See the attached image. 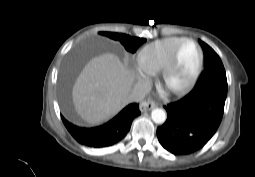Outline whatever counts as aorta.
Returning <instances> with one entry per match:
<instances>
[{"label": "aorta", "mask_w": 255, "mask_h": 177, "mask_svg": "<svg viewBox=\"0 0 255 177\" xmlns=\"http://www.w3.org/2000/svg\"><path fill=\"white\" fill-rule=\"evenodd\" d=\"M151 118L156 124H162L166 120V113L162 109L155 108L151 112Z\"/></svg>", "instance_id": "1"}]
</instances>
